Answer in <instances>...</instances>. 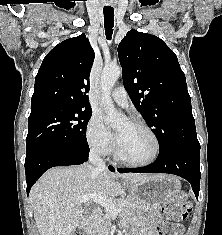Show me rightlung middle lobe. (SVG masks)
<instances>
[{"label": "right lung middle lobe", "instance_id": "obj_1", "mask_svg": "<svg viewBox=\"0 0 222 235\" xmlns=\"http://www.w3.org/2000/svg\"><path fill=\"white\" fill-rule=\"evenodd\" d=\"M91 108L55 105L30 114L26 138V159L54 148L89 150L86 128Z\"/></svg>", "mask_w": 222, "mask_h": 235}]
</instances>
